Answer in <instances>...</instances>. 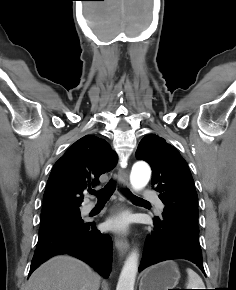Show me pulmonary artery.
<instances>
[{
    "mask_svg": "<svg viewBox=\"0 0 236 290\" xmlns=\"http://www.w3.org/2000/svg\"><path fill=\"white\" fill-rule=\"evenodd\" d=\"M142 198L144 200H151L154 201L157 205V207L162 210L163 209V203L157 199V195L154 191L151 190H146L142 193ZM94 207V203L89 202L87 204L84 205V212H89L90 210H92V208Z\"/></svg>",
    "mask_w": 236,
    "mask_h": 290,
    "instance_id": "pulmonary-artery-1",
    "label": "pulmonary artery"
}]
</instances>
